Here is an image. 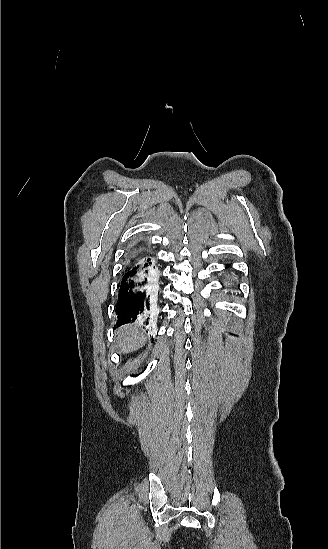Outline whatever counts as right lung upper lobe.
<instances>
[{
	"instance_id": "right-lung-upper-lobe-1",
	"label": "right lung upper lobe",
	"mask_w": 328,
	"mask_h": 549,
	"mask_svg": "<svg viewBox=\"0 0 328 549\" xmlns=\"http://www.w3.org/2000/svg\"><path fill=\"white\" fill-rule=\"evenodd\" d=\"M134 249L135 250L133 251V256H131V257H134V259L144 257V256H148L145 249H143L142 243L137 244L134 247ZM131 262H133V261H131Z\"/></svg>"
}]
</instances>
